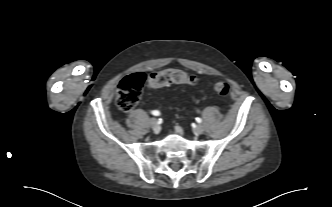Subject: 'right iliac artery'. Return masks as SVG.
I'll list each match as a JSON object with an SVG mask.
<instances>
[{
	"label": "right iliac artery",
	"instance_id": "obj_1",
	"mask_svg": "<svg viewBox=\"0 0 332 207\" xmlns=\"http://www.w3.org/2000/svg\"><path fill=\"white\" fill-rule=\"evenodd\" d=\"M151 113H152L154 116H159V115H160V112L157 111V110H153V111H151Z\"/></svg>",
	"mask_w": 332,
	"mask_h": 207
}]
</instances>
